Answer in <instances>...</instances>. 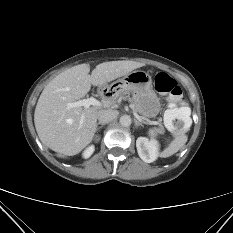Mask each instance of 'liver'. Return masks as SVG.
<instances>
[{"instance_id":"liver-1","label":"liver","mask_w":233,"mask_h":233,"mask_svg":"<svg viewBox=\"0 0 233 233\" xmlns=\"http://www.w3.org/2000/svg\"><path fill=\"white\" fill-rule=\"evenodd\" d=\"M145 64L135 61L103 62L90 72L89 64L73 66L57 75L42 91L34 113L41 142L51 150L73 156L88 146L97 128V116L115 104V97H103L101 106L67 109V103L83 98L91 86H103Z\"/></svg>"}]
</instances>
